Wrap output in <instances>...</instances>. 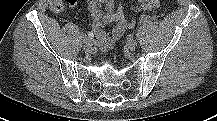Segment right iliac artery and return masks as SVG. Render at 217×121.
Returning <instances> with one entry per match:
<instances>
[{"mask_svg":"<svg viewBox=\"0 0 217 121\" xmlns=\"http://www.w3.org/2000/svg\"><path fill=\"white\" fill-rule=\"evenodd\" d=\"M81 40L85 43V44H91L94 43V40H92V38H89L86 35H82L81 36Z\"/></svg>","mask_w":217,"mask_h":121,"instance_id":"82829eb1","label":"right iliac artery"}]
</instances>
